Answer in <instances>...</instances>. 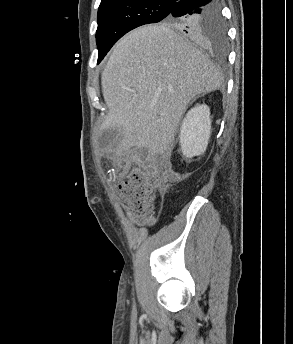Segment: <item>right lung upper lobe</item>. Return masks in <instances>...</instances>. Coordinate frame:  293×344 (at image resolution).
Returning a JSON list of instances; mask_svg holds the SVG:
<instances>
[{
  "label": "right lung upper lobe",
  "instance_id": "right-lung-upper-lobe-1",
  "mask_svg": "<svg viewBox=\"0 0 293 344\" xmlns=\"http://www.w3.org/2000/svg\"><path fill=\"white\" fill-rule=\"evenodd\" d=\"M103 1H107V0H102L101 2H103ZM167 1L176 2L178 0H167Z\"/></svg>",
  "mask_w": 293,
  "mask_h": 344
}]
</instances>
